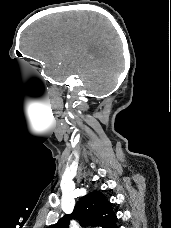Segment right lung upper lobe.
Listing matches in <instances>:
<instances>
[{
  "label": "right lung upper lobe",
  "mask_w": 171,
  "mask_h": 228,
  "mask_svg": "<svg viewBox=\"0 0 171 228\" xmlns=\"http://www.w3.org/2000/svg\"><path fill=\"white\" fill-rule=\"evenodd\" d=\"M77 218L83 225H93L100 228H117L116 214L111 203L99 191H93L82 197L71 215L63 216L49 228H68L69 220Z\"/></svg>",
  "instance_id": "right-lung-upper-lobe-1"
}]
</instances>
